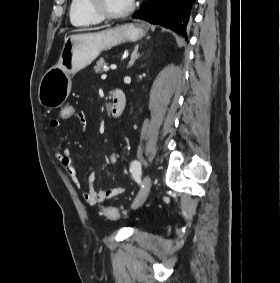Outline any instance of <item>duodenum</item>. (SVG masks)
Listing matches in <instances>:
<instances>
[{
	"label": "duodenum",
	"mask_w": 280,
	"mask_h": 283,
	"mask_svg": "<svg viewBox=\"0 0 280 283\" xmlns=\"http://www.w3.org/2000/svg\"><path fill=\"white\" fill-rule=\"evenodd\" d=\"M125 106V94L119 89H114L111 93V105L109 108L110 116L113 118L120 117L125 109Z\"/></svg>",
	"instance_id": "duodenum-1"
}]
</instances>
